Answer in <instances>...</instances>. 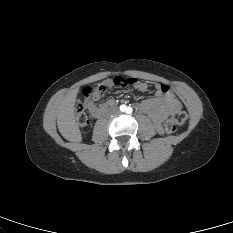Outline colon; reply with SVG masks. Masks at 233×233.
Here are the masks:
<instances>
[{
  "instance_id": "obj_1",
  "label": "colon",
  "mask_w": 233,
  "mask_h": 233,
  "mask_svg": "<svg viewBox=\"0 0 233 233\" xmlns=\"http://www.w3.org/2000/svg\"><path fill=\"white\" fill-rule=\"evenodd\" d=\"M137 80L135 78H124L117 76L109 82H104L96 88H85L83 90V101H79L76 107V119L78 123L85 127L88 124L87 110H90L98 99H100L106 89L110 86L124 87L134 85ZM187 120V114L184 111L175 112L166 122L164 129L167 133L175 132L179 127L183 126Z\"/></svg>"
}]
</instances>
